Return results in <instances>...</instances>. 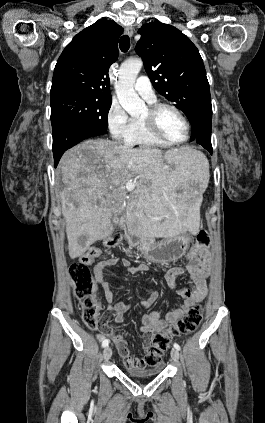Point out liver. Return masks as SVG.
Wrapping results in <instances>:
<instances>
[{
  "label": "liver",
  "mask_w": 265,
  "mask_h": 423,
  "mask_svg": "<svg viewBox=\"0 0 265 423\" xmlns=\"http://www.w3.org/2000/svg\"><path fill=\"white\" fill-rule=\"evenodd\" d=\"M59 168L64 185L61 210L72 259L113 233L112 216L123 211L130 216L134 207L149 238L199 230V204L186 189L190 182L206 185L209 166L205 156L190 147L162 152L91 139L67 151ZM132 181L136 188L128 195L125 184Z\"/></svg>",
  "instance_id": "obj_1"
}]
</instances>
